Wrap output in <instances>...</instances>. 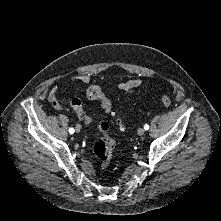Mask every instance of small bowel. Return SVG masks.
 Instances as JSON below:
<instances>
[{
	"instance_id": "c3829d8e",
	"label": "small bowel",
	"mask_w": 221,
	"mask_h": 221,
	"mask_svg": "<svg viewBox=\"0 0 221 221\" xmlns=\"http://www.w3.org/2000/svg\"><path fill=\"white\" fill-rule=\"evenodd\" d=\"M74 82L88 84L92 80V76L90 74H82L76 76L72 79ZM143 83V80L135 77H128L127 79H118L116 81V86L126 95H129L134 92V90L139 87ZM49 102L56 109H61L62 103L59 100L57 89L54 88L50 91L48 95Z\"/></svg>"
}]
</instances>
